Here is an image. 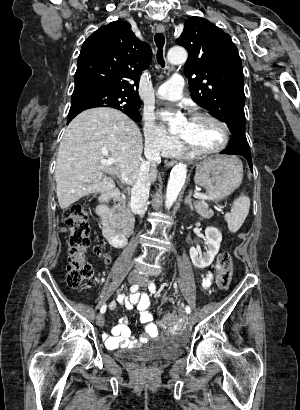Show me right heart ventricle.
<instances>
[{"instance_id": "e07e8e85", "label": "right heart ventricle", "mask_w": 300, "mask_h": 410, "mask_svg": "<svg viewBox=\"0 0 300 410\" xmlns=\"http://www.w3.org/2000/svg\"><path fill=\"white\" fill-rule=\"evenodd\" d=\"M170 155L174 156V157H184V156H188L186 154V152L184 151L183 148L178 147L176 150H174Z\"/></svg>"}]
</instances>
